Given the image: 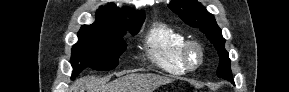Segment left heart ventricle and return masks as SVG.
<instances>
[{
  "label": "left heart ventricle",
  "mask_w": 289,
  "mask_h": 92,
  "mask_svg": "<svg viewBox=\"0 0 289 92\" xmlns=\"http://www.w3.org/2000/svg\"><path fill=\"white\" fill-rule=\"evenodd\" d=\"M196 59H197V56H196L195 53H193V54H192V60H193V61H196Z\"/></svg>",
  "instance_id": "left-heart-ventricle-1"
}]
</instances>
